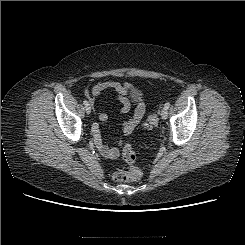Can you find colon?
<instances>
[{
    "instance_id": "obj_1",
    "label": "colon",
    "mask_w": 245,
    "mask_h": 245,
    "mask_svg": "<svg viewBox=\"0 0 245 245\" xmlns=\"http://www.w3.org/2000/svg\"><path fill=\"white\" fill-rule=\"evenodd\" d=\"M158 124V115L156 113H150L144 122L141 124V128L144 130H150ZM123 158L125 162L130 166L128 170L117 171L114 173L113 178L117 181H137L142 177L141 170L133 166L136 160V154L130 144H126L123 148Z\"/></svg>"
}]
</instances>
